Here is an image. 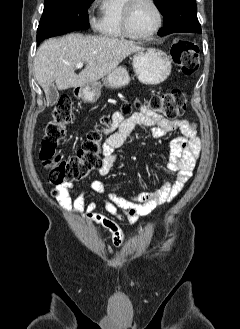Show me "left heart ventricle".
<instances>
[{"label":"left heart ventricle","instance_id":"b2bd125f","mask_svg":"<svg viewBox=\"0 0 240 329\" xmlns=\"http://www.w3.org/2000/svg\"><path fill=\"white\" fill-rule=\"evenodd\" d=\"M157 21V13L152 5L140 0L132 10L130 28L136 34L145 35L155 28Z\"/></svg>","mask_w":240,"mask_h":329}]
</instances>
